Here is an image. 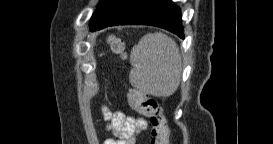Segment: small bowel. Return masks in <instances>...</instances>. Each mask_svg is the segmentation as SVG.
Instances as JSON below:
<instances>
[{
	"instance_id": "small-bowel-1",
	"label": "small bowel",
	"mask_w": 273,
	"mask_h": 144,
	"mask_svg": "<svg viewBox=\"0 0 273 144\" xmlns=\"http://www.w3.org/2000/svg\"><path fill=\"white\" fill-rule=\"evenodd\" d=\"M103 117L109 122V129L118 136V144H133L143 133L148 123L144 118H132L122 112H113L104 108Z\"/></svg>"
}]
</instances>
